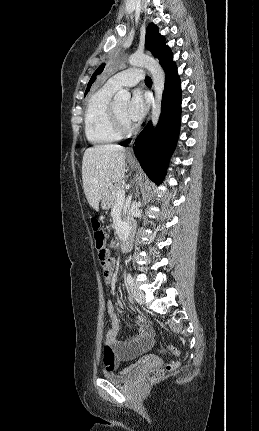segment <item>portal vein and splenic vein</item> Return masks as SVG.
I'll use <instances>...</instances> for the list:
<instances>
[{
    "label": "portal vein and splenic vein",
    "instance_id": "1",
    "mask_svg": "<svg viewBox=\"0 0 259 431\" xmlns=\"http://www.w3.org/2000/svg\"><path fill=\"white\" fill-rule=\"evenodd\" d=\"M116 195L118 197V200L123 201L126 197V191L124 189L119 190Z\"/></svg>",
    "mask_w": 259,
    "mask_h": 431
}]
</instances>
